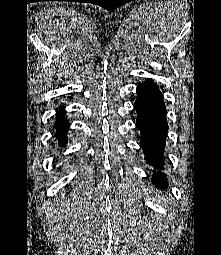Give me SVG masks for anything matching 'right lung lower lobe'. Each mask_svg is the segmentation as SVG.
<instances>
[{"label":"right lung lower lobe","instance_id":"obj_1","mask_svg":"<svg viewBox=\"0 0 221 255\" xmlns=\"http://www.w3.org/2000/svg\"><path fill=\"white\" fill-rule=\"evenodd\" d=\"M64 110L58 112V118L56 120V124L54 127L56 128V137L60 143H66V133L69 127V123L67 122Z\"/></svg>","mask_w":221,"mask_h":255}]
</instances>
